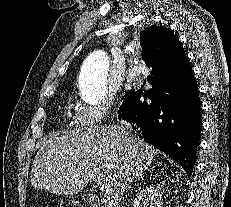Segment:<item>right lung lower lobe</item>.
Wrapping results in <instances>:
<instances>
[{
    "instance_id": "1",
    "label": "right lung lower lobe",
    "mask_w": 231,
    "mask_h": 207,
    "mask_svg": "<svg viewBox=\"0 0 231 207\" xmlns=\"http://www.w3.org/2000/svg\"><path fill=\"white\" fill-rule=\"evenodd\" d=\"M153 28L141 32V40ZM148 81L151 89L126 93L118 118L144 141L167 153L190 177L202 126L198 85L190 63L179 71L152 69Z\"/></svg>"
}]
</instances>
